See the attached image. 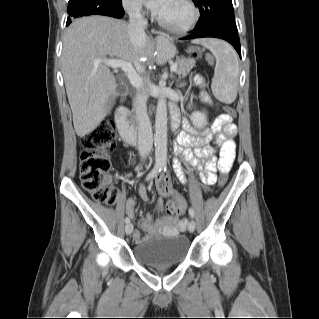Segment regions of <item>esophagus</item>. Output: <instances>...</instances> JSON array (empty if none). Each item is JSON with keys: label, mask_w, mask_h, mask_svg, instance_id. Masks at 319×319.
Masks as SVG:
<instances>
[{"label": "esophagus", "mask_w": 319, "mask_h": 319, "mask_svg": "<svg viewBox=\"0 0 319 319\" xmlns=\"http://www.w3.org/2000/svg\"><path fill=\"white\" fill-rule=\"evenodd\" d=\"M154 34L156 35L157 38H161L163 37L162 33L161 32H158V31H154Z\"/></svg>", "instance_id": "1"}]
</instances>
